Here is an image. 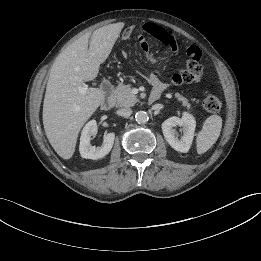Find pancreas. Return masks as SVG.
I'll return each mask as SVG.
<instances>
[{
    "label": "pancreas",
    "mask_w": 261,
    "mask_h": 261,
    "mask_svg": "<svg viewBox=\"0 0 261 261\" xmlns=\"http://www.w3.org/2000/svg\"><path fill=\"white\" fill-rule=\"evenodd\" d=\"M131 90L132 88L130 84H121L116 88L114 94L112 95V98L115 101V105L117 107L133 106L138 101L136 95H134ZM175 97L179 102L182 103L184 107H186L187 109L191 108V104L186 97L180 95L179 93H176Z\"/></svg>",
    "instance_id": "obj_1"
}]
</instances>
